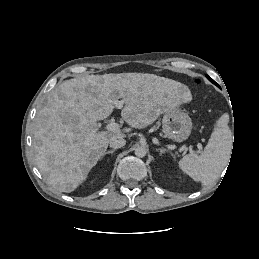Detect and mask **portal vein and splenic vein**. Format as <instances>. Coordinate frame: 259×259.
<instances>
[{
    "label": "portal vein and splenic vein",
    "mask_w": 259,
    "mask_h": 259,
    "mask_svg": "<svg viewBox=\"0 0 259 259\" xmlns=\"http://www.w3.org/2000/svg\"><path fill=\"white\" fill-rule=\"evenodd\" d=\"M125 103V100H120V101H115L114 105L118 109H122L123 105ZM106 129L111 131V132H119L120 131V126L116 122H110L107 124ZM199 150H202V146L198 145Z\"/></svg>",
    "instance_id": "1"
}]
</instances>
